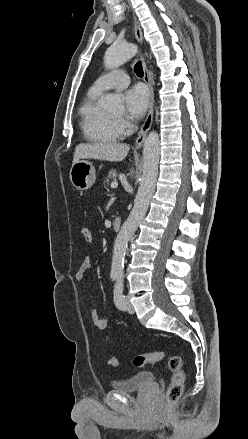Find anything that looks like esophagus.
I'll use <instances>...</instances> for the list:
<instances>
[{"mask_svg":"<svg viewBox=\"0 0 248 439\" xmlns=\"http://www.w3.org/2000/svg\"><path fill=\"white\" fill-rule=\"evenodd\" d=\"M134 23H135V37H136L138 43L141 45L143 42L142 29L139 25V22L136 20V18H134ZM141 61H142V67H143V71H144V78L143 79H144V82L146 83V85L149 89V108H148L147 117H146L143 125L141 126L140 131H139L138 136H137V139L135 141L136 148L142 147L144 140L146 138V135L152 126L153 114H154V89H153V84H152V78L150 76L145 59L142 55H141Z\"/></svg>","mask_w":248,"mask_h":439,"instance_id":"esophagus-1","label":"esophagus"}]
</instances>
